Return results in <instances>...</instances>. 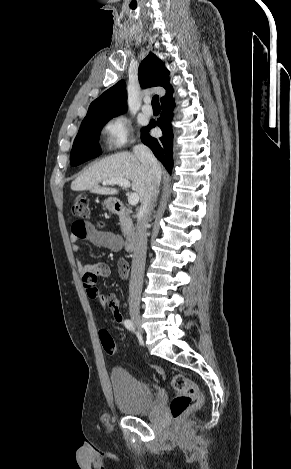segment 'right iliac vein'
<instances>
[{"label":"right iliac vein","mask_w":291,"mask_h":469,"mask_svg":"<svg viewBox=\"0 0 291 469\" xmlns=\"http://www.w3.org/2000/svg\"><path fill=\"white\" fill-rule=\"evenodd\" d=\"M130 317L133 322V324L140 330L141 329V317L139 313V309L137 306H131L129 309Z\"/></svg>","instance_id":"1"}]
</instances>
